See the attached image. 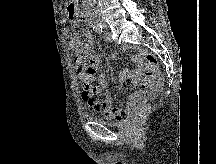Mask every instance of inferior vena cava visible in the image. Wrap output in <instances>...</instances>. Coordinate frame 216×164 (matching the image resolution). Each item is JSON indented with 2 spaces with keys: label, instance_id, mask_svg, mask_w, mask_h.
<instances>
[{
  "label": "inferior vena cava",
  "instance_id": "602c4592",
  "mask_svg": "<svg viewBox=\"0 0 216 164\" xmlns=\"http://www.w3.org/2000/svg\"><path fill=\"white\" fill-rule=\"evenodd\" d=\"M93 2H95V3H96V2H97V0H93Z\"/></svg>",
  "mask_w": 216,
  "mask_h": 164
}]
</instances>
